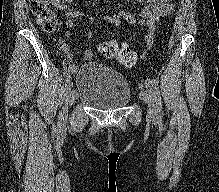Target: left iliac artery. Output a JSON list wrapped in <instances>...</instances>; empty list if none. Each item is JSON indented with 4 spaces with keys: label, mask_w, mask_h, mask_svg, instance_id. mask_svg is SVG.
Wrapping results in <instances>:
<instances>
[{
    "label": "left iliac artery",
    "mask_w": 219,
    "mask_h": 192,
    "mask_svg": "<svg viewBox=\"0 0 219 192\" xmlns=\"http://www.w3.org/2000/svg\"><path fill=\"white\" fill-rule=\"evenodd\" d=\"M145 85L147 87H150V86L152 87L153 95L156 100L157 114H158V117L161 119L163 116V110H162V101H161L158 82L155 79H151V80L146 81Z\"/></svg>",
    "instance_id": "1"
}]
</instances>
